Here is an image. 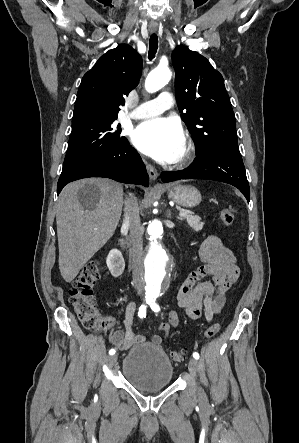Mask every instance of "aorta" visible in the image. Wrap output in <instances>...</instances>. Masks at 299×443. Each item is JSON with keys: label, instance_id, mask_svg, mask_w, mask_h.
I'll use <instances>...</instances> for the list:
<instances>
[{"label": "aorta", "instance_id": "aorta-1", "mask_svg": "<svg viewBox=\"0 0 299 443\" xmlns=\"http://www.w3.org/2000/svg\"><path fill=\"white\" fill-rule=\"evenodd\" d=\"M171 76L172 72L169 68L158 67L147 76L145 89L149 93H154L164 87L170 81ZM146 235L150 241L144 257L146 297L155 300L161 296L166 286L170 257L162 243L165 229L160 221L152 220L147 226Z\"/></svg>", "mask_w": 299, "mask_h": 443}]
</instances>
